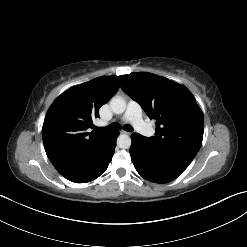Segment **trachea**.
<instances>
[{"mask_svg":"<svg viewBox=\"0 0 247 247\" xmlns=\"http://www.w3.org/2000/svg\"><path fill=\"white\" fill-rule=\"evenodd\" d=\"M120 128H121L120 124L114 123V124H111V125H109L107 127L99 128L98 130L99 131H103V132H113V131L119 130ZM124 130L132 132L133 128H132V126L127 124V125L124 126Z\"/></svg>","mask_w":247,"mask_h":247,"instance_id":"obj_1","label":"trachea"}]
</instances>
